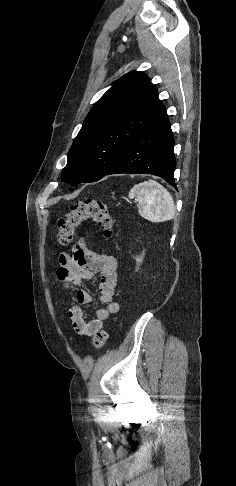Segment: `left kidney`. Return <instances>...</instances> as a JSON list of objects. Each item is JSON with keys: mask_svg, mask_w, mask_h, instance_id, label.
Instances as JSON below:
<instances>
[{"mask_svg": "<svg viewBox=\"0 0 236 486\" xmlns=\"http://www.w3.org/2000/svg\"><path fill=\"white\" fill-rule=\"evenodd\" d=\"M136 261H137L138 263H141V262H142V259H141V258H137V259H136Z\"/></svg>", "mask_w": 236, "mask_h": 486, "instance_id": "5707ae66", "label": "left kidney"}]
</instances>
